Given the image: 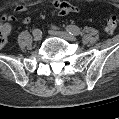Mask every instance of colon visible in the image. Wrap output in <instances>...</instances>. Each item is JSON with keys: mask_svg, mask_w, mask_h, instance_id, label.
Listing matches in <instances>:
<instances>
[{"mask_svg": "<svg viewBox=\"0 0 119 119\" xmlns=\"http://www.w3.org/2000/svg\"><path fill=\"white\" fill-rule=\"evenodd\" d=\"M118 25L116 16L110 17L105 24V29L108 33H113ZM8 40V31L3 25L0 26V45H5Z\"/></svg>", "mask_w": 119, "mask_h": 119, "instance_id": "colon-1", "label": "colon"}]
</instances>
